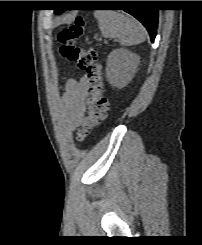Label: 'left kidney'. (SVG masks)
Returning a JSON list of instances; mask_svg holds the SVG:
<instances>
[{
    "mask_svg": "<svg viewBox=\"0 0 202 245\" xmlns=\"http://www.w3.org/2000/svg\"><path fill=\"white\" fill-rule=\"evenodd\" d=\"M140 57L127 49L113 50L107 58L106 77L117 88H123L133 79Z\"/></svg>",
    "mask_w": 202,
    "mask_h": 245,
    "instance_id": "obj_1",
    "label": "left kidney"
}]
</instances>
